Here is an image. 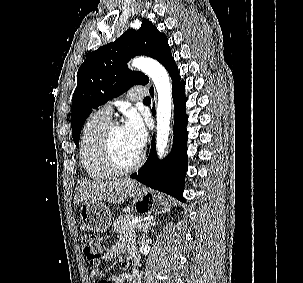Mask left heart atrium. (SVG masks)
Returning a JSON list of instances; mask_svg holds the SVG:
<instances>
[{"instance_id":"obj_1","label":"left heart atrium","mask_w":303,"mask_h":283,"mask_svg":"<svg viewBox=\"0 0 303 283\" xmlns=\"http://www.w3.org/2000/svg\"><path fill=\"white\" fill-rule=\"evenodd\" d=\"M122 128L132 146L140 152L147 141V130L143 119L137 112L130 111L126 115Z\"/></svg>"}]
</instances>
